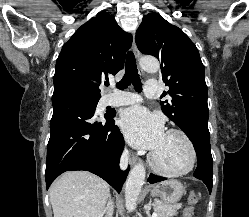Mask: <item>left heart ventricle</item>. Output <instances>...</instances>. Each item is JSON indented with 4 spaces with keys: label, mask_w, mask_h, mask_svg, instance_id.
I'll return each instance as SVG.
<instances>
[{
    "label": "left heart ventricle",
    "mask_w": 249,
    "mask_h": 217,
    "mask_svg": "<svg viewBox=\"0 0 249 217\" xmlns=\"http://www.w3.org/2000/svg\"><path fill=\"white\" fill-rule=\"evenodd\" d=\"M156 162L167 170H180L189 161V150L177 135L165 134L159 147L153 151Z\"/></svg>",
    "instance_id": "1"
}]
</instances>
